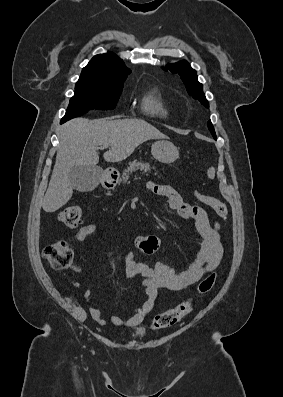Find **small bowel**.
<instances>
[{"instance_id":"c3829d8e","label":"small bowel","mask_w":283,"mask_h":397,"mask_svg":"<svg viewBox=\"0 0 283 397\" xmlns=\"http://www.w3.org/2000/svg\"><path fill=\"white\" fill-rule=\"evenodd\" d=\"M147 188L151 193L163 197L167 205L176 211L178 217L192 221L193 230L201 240L200 248L193 261L180 271L161 262L154 265L138 262L134 252L127 253L124 258L125 277L130 279L141 276L143 278L141 285L147 298L128 318L118 315L110 316V322L119 327L131 328L140 325L154 309L160 290H183L190 287L204 274L218 267L224 252L220 237V224L217 221L210 223L207 213L202 207L186 203L181 195L169 185L149 182ZM96 229L95 223L87 224L78 230L75 237L79 242H83ZM135 243L139 251L146 256L155 253L160 246V240L156 236H138ZM75 270L81 271L80 268H75ZM84 296L88 301L90 296L88 289L85 290ZM89 311L94 320L102 325L106 324L98 307L91 305Z\"/></svg>"}]
</instances>
